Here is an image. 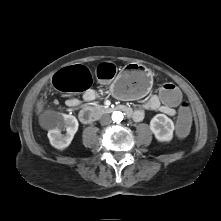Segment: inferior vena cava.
I'll return each instance as SVG.
<instances>
[{"mask_svg": "<svg viewBox=\"0 0 221 221\" xmlns=\"http://www.w3.org/2000/svg\"><path fill=\"white\" fill-rule=\"evenodd\" d=\"M101 125H108L111 123V118L109 115L105 114L100 118Z\"/></svg>", "mask_w": 221, "mask_h": 221, "instance_id": "1", "label": "inferior vena cava"}]
</instances>
